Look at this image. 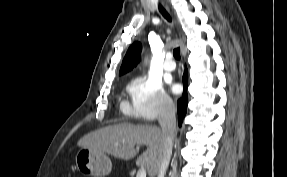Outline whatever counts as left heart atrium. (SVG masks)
I'll list each match as a JSON object with an SVG mask.
<instances>
[{
	"label": "left heart atrium",
	"mask_w": 287,
	"mask_h": 177,
	"mask_svg": "<svg viewBox=\"0 0 287 177\" xmlns=\"http://www.w3.org/2000/svg\"><path fill=\"white\" fill-rule=\"evenodd\" d=\"M171 89L173 92H177L179 90V87H178V85L171 83Z\"/></svg>",
	"instance_id": "obj_1"
}]
</instances>
